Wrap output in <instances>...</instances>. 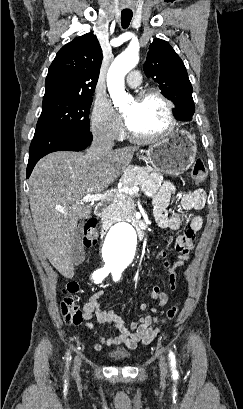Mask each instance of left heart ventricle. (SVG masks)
<instances>
[{
	"label": "left heart ventricle",
	"instance_id": "obj_1",
	"mask_svg": "<svg viewBox=\"0 0 243 409\" xmlns=\"http://www.w3.org/2000/svg\"><path fill=\"white\" fill-rule=\"evenodd\" d=\"M128 128L138 135L154 134L167 125L164 105L155 98L135 99L123 111Z\"/></svg>",
	"mask_w": 243,
	"mask_h": 409
}]
</instances>
